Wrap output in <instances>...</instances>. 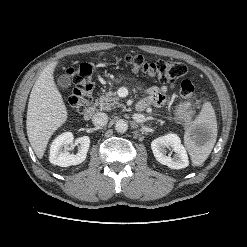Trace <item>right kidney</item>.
Wrapping results in <instances>:
<instances>
[{
  "mask_svg": "<svg viewBox=\"0 0 247 247\" xmlns=\"http://www.w3.org/2000/svg\"><path fill=\"white\" fill-rule=\"evenodd\" d=\"M73 142L74 137L71 132L59 135L51 144L49 161L52 164L61 167H68L82 163L86 159L89 150L90 138L88 136H83L75 140L77 144H80L77 154H70L68 152L69 145Z\"/></svg>",
  "mask_w": 247,
  "mask_h": 247,
  "instance_id": "ca27d5eb",
  "label": "right kidney"
}]
</instances>
